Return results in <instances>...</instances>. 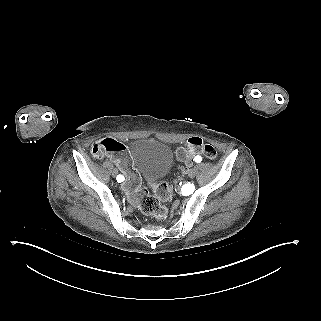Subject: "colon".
<instances>
[{"mask_svg":"<svg viewBox=\"0 0 321 321\" xmlns=\"http://www.w3.org/2000/svg\"><path fill=\"white\" fill-rule=\"evenodd\" d=\"M91 153L95 158L109 156L115 162L125 176L122 183L123 191L129 201L143 214L156 219H163L167 216V209L161 204V200L165 201L171 197L172 187L166 182H155L152 185L154 194L144 189L141 186V178L124 144L112 138H105L92 145ZM176 155L180 161L187 163L195 156L200 155L207 159H214L216 150L201 138L191 137L177 149Z\"/></svg>","mask_w":321,"mask_h":321,"instance_id":"colon-1","label":"colon"}]
</instances>
